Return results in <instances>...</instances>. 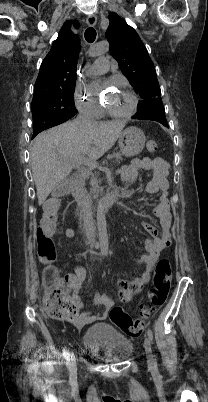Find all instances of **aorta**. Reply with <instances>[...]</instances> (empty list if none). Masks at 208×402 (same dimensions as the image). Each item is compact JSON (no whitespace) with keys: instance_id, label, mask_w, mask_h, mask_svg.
Returning a JSON list of instances; mask_svg holds the SVG:
<instances>
[{"instance_id":"762f6f07","label":"aorta","mask_w":208,"mask_h":402,"mask_svg":"<svg viewBox=\"0 0 208 402\" xmlns=\"http://www.w3.org/2000/svg\"><path fill=\"white\" fill-rule=\"evenodd\" d=\"M95 221L97 223L96 233L99 238L98 247L101 250L102 255L104 257H107L110 252V249H109L110 243L108 241L109 235L107 233L109 226H108L107 218L105 216L104 208H103L101 202H98L97 216L95 218Z\"/></svg>"}]
</instances>
